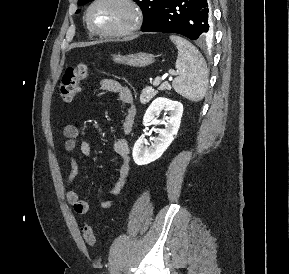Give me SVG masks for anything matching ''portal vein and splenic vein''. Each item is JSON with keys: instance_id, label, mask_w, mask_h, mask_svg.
I'll list each match as a JSON object with an SVG mask.
<instances>
[{"instance_id": "obj_1", "label": "portal vein and splenic vein", "mask_w": 289, "mask_h": 274, "mask_svg": "<svg viewBox=\"0 0 289 274\" xmlns=\"http://www.w3.org/2000/svg\"><path fill=\"white\" fill-rule=\"evenodd\" d=\"M171 75L176 76V75H178V72H172ZM161 80H162L161 77H157V78L154 80L153 85H154V86L159 85L160 82H161Z\"/></svg>"}]
</instances>
